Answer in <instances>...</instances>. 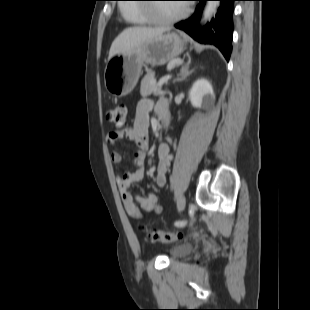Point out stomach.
Here are the masks:
<instances>
[{
    "label": "stomach",
    "instance_id": "obj_1",
    "mask_svg": "<svg viewBox=\"0 0 310 310\" xmlns=\"http://www.w3.org/2000/svg\"><path fill=\"white\" fill-rule=\"evenodd\" d=\"M185 41L177 33H164L128 54H115L104 71L105 87L115 97L128 95L136 86L144 64L163 65L180 55Z\"/></svg>",
    "mask_w": 310,
    "mask_h": 310
}]
</instances>
